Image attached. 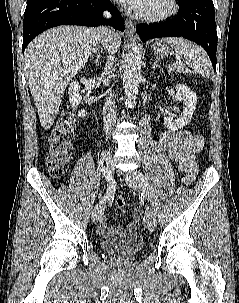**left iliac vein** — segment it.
I'll return each mask as SVG.
<instances>
[{
	"label": "left iliac vein",
	"instance_id": "obj_1",
	"mask_svg": "<svg viewBox=\"0 0 239 303\" xmlns=\"http://www.w3.org/2000/svg\"><path fill=\"white\" fill-rule=\"evenodd\" d=\"M137 171H128L124 175L127 185L135 191H140L139 179ZM156 219L153 213L148 209L144 217V225L149 231H154L156 228Z\"/></svg>",
	"mask_w": 239,
	"mask_h": 303
}]
</instances>
